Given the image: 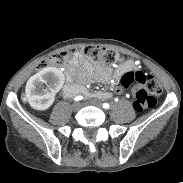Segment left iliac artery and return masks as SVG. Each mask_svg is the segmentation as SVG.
<instances>
[{"instance_id":"obj_1","label":"left iliac artery","mask_w":183,"mask_h":183,"mask_svg":"<svg viewBox=\"0 0 183 183\" xmlns=\"http://www.w3.org/2000/svg\"><path fill=\"white\" fill-rule=\"evenodd\" d=\"M103 108L109 109L110 108V105L108 103H103Z\"/></svg>"}]
</instances>
